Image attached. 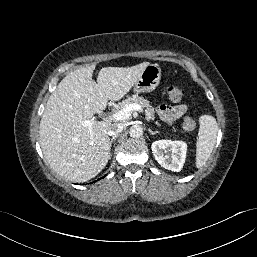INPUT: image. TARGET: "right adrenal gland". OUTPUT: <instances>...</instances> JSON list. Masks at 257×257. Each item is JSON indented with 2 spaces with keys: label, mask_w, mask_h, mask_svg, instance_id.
<instances>
[{
  "label": "right adrenal gland",
  "mask_w": 257,
  "mask_h": 257,
  "mask_svg": "<svg viewBox=\"0 0 257 257\" xmlns=\"http://www.w3.org/2000/svg\"><path fill=\"white\" fill-rule=\"evenodd\" d=\"M117 137H118V135H115V136H113V137L111 138V140H110V146H112L113 141H115Z\"/></svg>",
  "instance_id": "right-adrenal-gland-1"
}]
</instances>
